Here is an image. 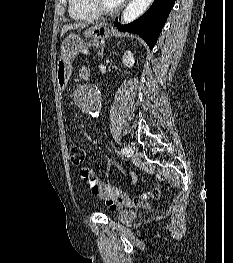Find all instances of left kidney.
Instances as JSON below:
<instances>
[{
	"mask_svg": "<svg viewBox=\"0 0 233 263\" xmlns=\"http://www.w3.org/2000/svg\"><path fill=\"white\" fill-rule=\"evenodd\" d=\"M122 62L127 67H130V68L133 67V65L135 63V59H134L131 51H126L124 53L123 58H122Z\"/></svg>",
	"mask_w": 233,
	"mask_h": 263,
	"instance_id": "obj_1",
	"label": "left kidney"
}]
</instances>
